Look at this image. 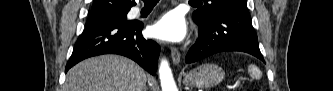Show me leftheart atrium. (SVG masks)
Masks as SVG:
<instances>
[{
  "label": "left heart atrium",
  "mask_w": 333,
  "mask_h": 91,
  "mask_svg": "<svg viewBox=\"0 0 333 91\" xmlns=\"http://www.w3.org/2000/svg\"><path fill=\"white\" fill-rule=\"evenodd\" d=\"M151 34L160 41L180 42L187 34V24L182 15L169 12L153 24Z\"/></svg>",
  "instance_id": "1"
}]
</instances>
